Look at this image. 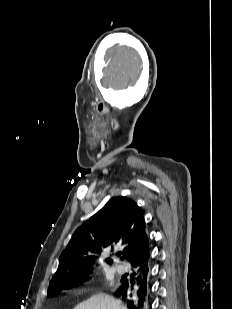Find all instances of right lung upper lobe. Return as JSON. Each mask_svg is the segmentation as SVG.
<instances>
[{"label": "right lung upper lobe", "instance_id": "1", "mask_svg": "<svg viewBox=\"0 0 232 309\" xmlns=\"http://www.w3.org/2000/svg\"><path fill=\"white\" fill-rule=\"evenodd\" d=\"M115 247L122 248V259L131 265L150 253L142 209L132 199L122 196L112 198L74 232L60 256L58 270L48 290L54 283L89 275L90 265L97 256ZM105 261L112 263L110 258Z\"/></svg>", "mask_w": 232, "mask_h": 309}]
</instances>
